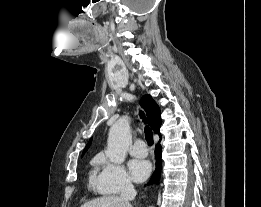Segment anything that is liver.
<instances>
[{
	"instance_id": "liver-1",
	"label": "liver",
	"mask_w": 261,
	"mask_h": 207,
	"mask_svg": "<svg viewBox=\"0 0 261 207\" xmlns=\"http://www.w3.org/2000/svg\"><path fill=\"white\" fill-rule=\"evenodd\" d=\"M81 207H132L127 201L122 200L115 195L102 196L100 198L93 199Z\"/></svg>"
}]
</instances>
